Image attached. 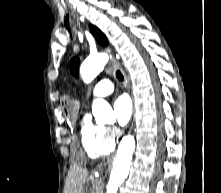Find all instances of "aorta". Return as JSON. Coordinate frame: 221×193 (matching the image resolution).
<instances>
[{"label":"aorta","instance_id":"762f6f07","mask_svg":"<svg viewBox=\"0 0 221 193\" xmlns=\"http://www.w3.org/2000/svg\"><path fill=\"white\" fill-rule=\"evenodd\" d=\"M108 62V55L101 53L89 56L81 64L80 75L84 82H91L104 69ZM92 114L96 120H108L114 113L107 101L95 99L92 104ZM135 150V139L132 135H127L121 140L116 157L114 158L113 169L107 185V193H117L118 187L127 177L132 156Z\"/></svg>","mask_w":221,"mask_h":193}]
</instances>
